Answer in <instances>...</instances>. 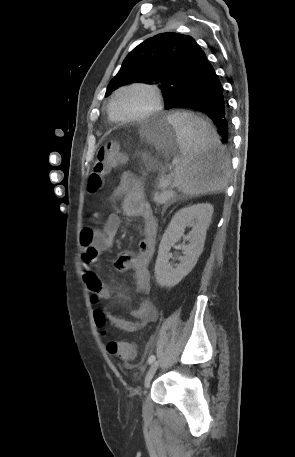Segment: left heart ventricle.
Masks as SVG:
<instances>
[{"mask_svg": "<svg viewBox=\"0 0 295 457\" xmlns=\"http://www.w3.org/2000/svg\"><path fill=\"white\" fill-rule=\"evenodd\" d=\"M153 99L144 89H130L120 93L114 102V112L119 117L140 115L151 108Z\"/></svg>", "mask_w": 295, "mask_h": 457, "instance_id": "b2bd125f", "label": "left heart ventricle"}]
</instances>
